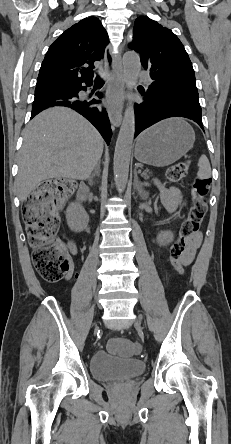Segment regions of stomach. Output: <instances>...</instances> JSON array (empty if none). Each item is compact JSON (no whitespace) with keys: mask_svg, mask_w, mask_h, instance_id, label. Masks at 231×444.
<instances>
[{"mask_svg":"<svg viewBox=\"0 0 231 444\" xmlns=\"http://www.w3.org/2000/svg\"><path fill=\"white\" fill-rule=\"evenodd\" d=\"M195 141L192 127L181 118H169L145 130L135 144L138 161L156 167L173 164Z\"/></svg>","mask_w":231,"mask_h":444,"instance_id":"1","label":"stomach"}]
</instances>
